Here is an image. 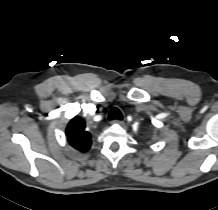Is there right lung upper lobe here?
<instances>
[{"mask_svg":"<svg viewBox=\"0 0 218 210\" xmlns=\"http://www.w3.org/2000/svg\"><path fill=\"white\" fill-rule=\"evenodd\" d=\"M68 142L72 147L80 152H87L91 146V134L86 130L85 121L79 117H74L66 129Z\"/></svg>","mask_w":218,"mask_h":210,"instance_id":"obj_1","label":"right lung upper lobe"}]
</instances>
